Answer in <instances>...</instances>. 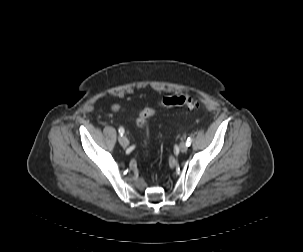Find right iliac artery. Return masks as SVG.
<instances>
[{
	"instance_id": "82829eb1",
	"label": "right iliac artery",
	"mask_w": 303,
	"mask_h": 252,
	"mask_svg": "<svg viewBox=\"0 0 303 252\" xmlns=\"http://www.w3.org/2000/svg\"><path fill=\"white\" fill-rule=\"evenodd\" d=\"M119 133H120L121 136L124 134V128L123 127L119 128Z\"/></svg>"
}]
</instances>
